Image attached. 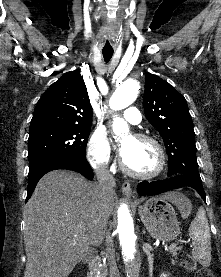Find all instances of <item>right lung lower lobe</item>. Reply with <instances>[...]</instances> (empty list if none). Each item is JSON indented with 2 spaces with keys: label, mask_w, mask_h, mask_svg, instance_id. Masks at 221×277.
Here are the masks:
<instances>
[{
  "label": "right lung lower lobe",
  "mask_w": 221,
  "mask_h": 277,
  "mask_svg": "<svg viewBox=\"0 0 221 277\" xmlns=\"http://www.w3.org/2000/svg\"><path fill=\"white\" fill-rule=\"evenodd\" d=\"M57 169H67V170L76 171L82 174L83 176H85L88 180L93 179V171L85 158L76 157V158H71L68 160L61 161L56 164L47 165L39 169L34 174L28 175V189H27L26 201L32 195L34 188L37 182L39 181V179L47 172H50L52 170H57Z\"/></svg>",
  "instance_id": "right-lung-lower-lobe-1"
}]
</instances>
